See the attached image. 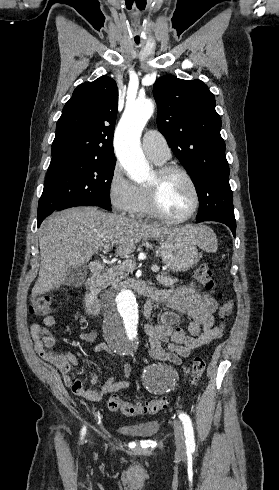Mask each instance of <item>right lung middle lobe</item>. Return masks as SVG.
<instances>
[{
    "mask_svg": "<svg viewBox=\"0 0 279 490\" xmlns=\"http://www.w3.org/2000/svg\"><path fill=\"white\" fill-rule=\"evenodd\" d=\"M116 158H79L49 165L38 218L46 217L59 207L79 201L91 202L111 210L110 185Z\"/></svg>",
    "mask_w": 279,
    "mask_h": 490,
    "instance_id": "obj_1",
    "label": "right lung middle lobe"
}]
</instances>
